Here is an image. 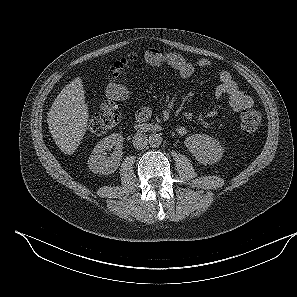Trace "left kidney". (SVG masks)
I'll return each instance as SVG.
<instances>
[{
	"mask_svg": "<svg viewBox=\"0 0 297 297\" xmlns=\"http://www.w3.org/2000/svg\"><path fill=\"white\" fill-rule=\"evenodd\" d=\"M184 143L195 159L204 165L218 162L224 153L219 141L206 134H193Z\"/></svg>",
	"mask_w": 297,
	"mask_h": 297,
	"instance_id": "1",
	"label": "left kidney"
}]
</instances>
